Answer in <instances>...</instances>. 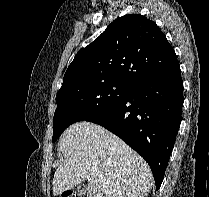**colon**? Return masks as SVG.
<instances>
[{"mask_svg": "<svg viewBox=\"0 0 209 197\" xmlns=\"http://www.w3.org/2000/svg\"><path fill=\"white\" fill-rule=\"evenodd\" d=\"M62 197H81L80 195L73 193V192H69V193H64L62 195Z\"/></svg>", "mask_w": 209, "mask_h": 197, "instance_id": "obj_1", "label": "colon"}]
</instances>
